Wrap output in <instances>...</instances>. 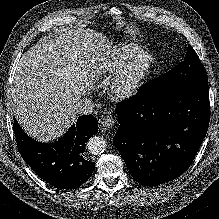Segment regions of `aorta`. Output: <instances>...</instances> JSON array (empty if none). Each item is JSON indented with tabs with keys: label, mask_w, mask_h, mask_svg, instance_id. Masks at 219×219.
Wrapping results in <instances>:
<instances>
[{
	"label": "aorta",
	"mask_w": 219,
	"mask_h": 219,
	"mask_svg": "<svg viewBox=\"0 0 219 219\" xmlns=\"http://www.w3.org/2000/svg\"><path fill=\"white\" fill-rule=\"evenodd\" d=\"M107 144L103 137H91L87 142V148L91 154L97 155L106 150Z\"/></svg>",
	"instance_id": "1"
}]
</instances>
